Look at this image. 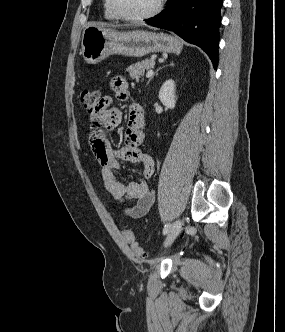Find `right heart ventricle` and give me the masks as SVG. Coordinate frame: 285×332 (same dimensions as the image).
I'll return each instance as SVG.
<instances>
[{"mask_svg": "<svg viewBox=\"0 0 285 332\" xmlns=\"http://www.w3.org/2000/svg\"><path fill=\"white\" fill-rule=\"evenodd\" d=\"M103 14L104 17L107 20H116L117 18L115 17V15L111 12V10L109 9L107 0H103Z\"/></svg>", "mask_w": 285, "mask_h": 332, "instance_id": "obj_1", "label": "right heart ventricle"}]
</instances>
